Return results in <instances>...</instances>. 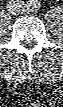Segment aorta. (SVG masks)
<instances>
[{"instance_id":"1","label":"aorta","mask_w":63,"mask_h":107,"mask_svg":"<svg viewBox=\"0 0 63 107\" xmlns=\"http://www.w3.org/2000/svg\"><path fill=\"white\" fill-rule=\"evenodd\" d=\"M27 9L30 11H36L39 9L40 3L38 0H29L26 3Z\"/></svg>"}]
</instances>
